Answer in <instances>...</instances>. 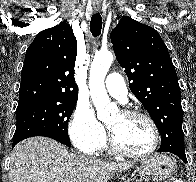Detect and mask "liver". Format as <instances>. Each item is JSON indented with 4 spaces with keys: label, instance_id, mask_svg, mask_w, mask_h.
<instances>
[{
    "label": "liver",
    "instance_id": "liver-1",
    "mask_svg": "<svg viewBox=\"0 0 196 182\" xmlns=\"http://www.w3.org/2000/svg\"><path fill=\"white\" fill-rule=\"evenodd\" d=\"M10 182H108L130 163L96 161L68 152L47 137H31L18 143L10 157Z\"/></svg>",
    "mask_w": 196,
    "mask_h": 182
}]
</instances>
